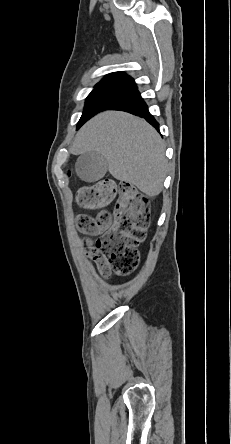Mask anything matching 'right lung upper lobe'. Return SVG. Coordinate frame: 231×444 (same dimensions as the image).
I'll return each instance as SVG.
<instances>
[{
	"mask_svg": "<svg viewBox=\"0 0 231 444\" xmlns=\"http://www.w3.org/2000/svg\"><path fill=\"white\" fill-rule=\"evenodd\" d=\"M113 86L125 90L128 94L137 90L134 80L123 72H114L105 76L95 87Z\"/></svg>",
	"mask_w": 231,
	"mask_h": 444,
	"instance_id": "right-lung-upper-lobe-1",
	"label": "right lung upper lobe"
}]
</instances>
